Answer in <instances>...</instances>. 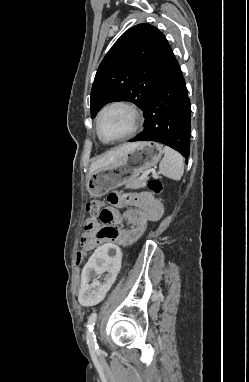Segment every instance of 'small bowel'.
<instances>
[{"label":"small bowel","mask_w":249,"mask_h":382,"mask_svg":"<svg viewBox=\"0 0 249 382\" xmlns=\"http://www.w3.org/2000/svg\"><path fill=\"white\" fill-rule=\"evenodd\" d=\"M107 201L109 208L84 221V232L80 237L84 253L96 250V245L108 240L116 241L117 245L131 244L143 235L149 221L158 219L162 214L161 203L147 193L133 197L112 192ZM124 207L128 208L120 212L119 209ZM124 220L129 224L127 229L120 227Z\"/></svg>","instance_id":"c3829d8e"}]
</instances>
